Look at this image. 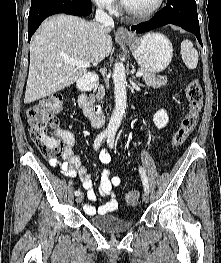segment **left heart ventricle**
<instances>
[{"mask_svg":"<svg viewBox=\"0 0 221 263\" xmlns=\"http://www.w3.org/2000/svg\"><path fill=\"white\" fill-rule=\"evenodd\" d=\"M131 8L146 10L153 7L158 0H124Z\"/></svg>","mask_w":221,"mask_h":263,"instance_id":"obj_1","label":"left heart ventricle"}]
</instances>
